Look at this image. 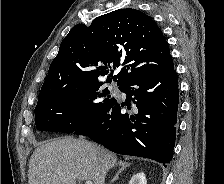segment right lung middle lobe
<instances>
[{
	"label": "right lung middle lobe",
	"mask_w": 224,
	"mask_h": 184,
	"mask_svg": "<svg viewBox=\"0 0 224 184\" xmlns=\"http://www.w3.org/2000/svg\"><path fill=\"white\" fill-rule=\"evenodd\" d=\"M102 84L93 82L70 86L37 103L36 128L73 133L96 120L115 101L107 88L100 90Z\"/></svg>",
	"instance_id": "1"
}]
</instances>
